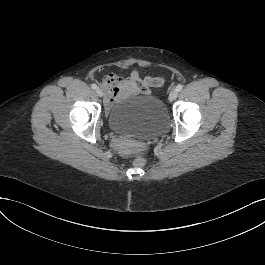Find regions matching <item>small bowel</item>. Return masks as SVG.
Returning <instances> with one entry per match:
<instances>
[{
  "mask_svg": "<svg viewBox=\"0 0 265 265\" xmlns=\"http://www.w3.org/2000/svg\"><path fill=\"white\" fill-rule=\"evenodd\" d=\"M161 83L155 78H142L137 71H133L128 76L118 74L106 75L101 86L105 91V103L110 106L130 95L149 94L150 89Z\"/></svg>",
  "mask_w": 265,
  "mask_h": 265,
  "instance_id": "obj_1",
  "label": "small bowel"
}]
</instances>
